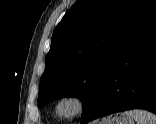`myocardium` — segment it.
Here are the masks:
<instances>
[{"label": "myocardium", "mask_w": 156, "mask_h": 124, "mask_svg": "<svg viewBox=\"0 0 156 124\" xmlns=\"http://www.w3.org/2000/svg\"><path fill=\"white\" fill-rule=\"evenodd\" d=\"M67 100H71L76 104V108L72 113L63 114L59 111L60 105ZM90 101L89 98L82 92L79 91H67L60 94L53 102L52 110L53 113L62 120H74L85 113L89 109Z\"/></svg>", "instance_id": "myocardium-1"}]
</instances>
